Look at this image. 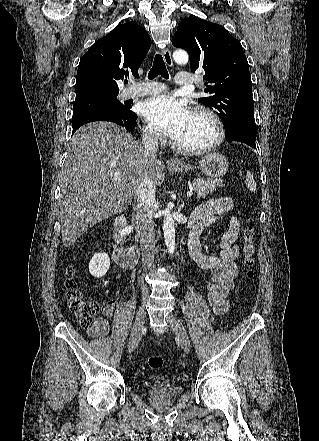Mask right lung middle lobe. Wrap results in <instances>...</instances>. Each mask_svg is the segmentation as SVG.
Here are the masks:
<instances>
[{
	"mask_svg": "<svg viewBox=\"0 0 319 441\" xmlns=\"http://www.w3.org/2000/svg\"><path fill=\"white\" fill-rule=\"evenodd\" d=\"M116 97L117 95L76 100L73 105L72 119L95 112H111L123 118H130L134 114L130 111L131 106L123 105Z\"/></svg>",
	"mask_w": 319,
	"mask_h": 441,
	"instance_id": "dd1d6c3e",
	"label": "right lung middle lobe"
}]
</instances>
